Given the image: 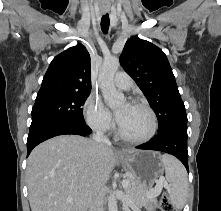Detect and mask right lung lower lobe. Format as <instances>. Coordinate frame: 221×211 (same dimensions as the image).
<instances>
[{"instance_id": "98d812e1", "label": "right lung lower lobe", "mask_w": 221, "mask_h": 211, "mask_svg": "<svg viewBox=\"0 0 221 211\" xmlns=\"http://www.w3.org/2000/svg\"><path fill=\"white\" fill-rule=\"evenodd\" d=\"M90 133L91 129L87 125L76 122L53 121L39 124L30 128L27 139V156L34 147L52 137L63 134L87 136Z\"/></svg>"}]
</instances>
